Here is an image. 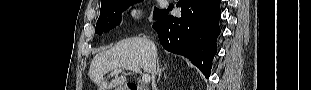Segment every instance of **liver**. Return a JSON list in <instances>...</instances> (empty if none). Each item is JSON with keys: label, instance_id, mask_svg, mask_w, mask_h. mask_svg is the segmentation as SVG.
<instances>
[{"label": "liver", "instance_id": "6515ba94", "mask_svg": "<svg viewBox=\"0 0 311 90\" xmlns=\"http://www.w3.org/2000/svg\"><path fill=\"white\" fill-rule=\"evenodd\" d=\"M156 57L157 48L152 41L139 37L127 38L113 48L97 54L91 62L89 75L99 90H110L114 86L125 84L127 78L121 75L107 82L104 78L106 74L116 69H126L128 66H137L153 74Z\"/></svg>", "mask_w": 311, "mask_h": 90}]
</instances>
